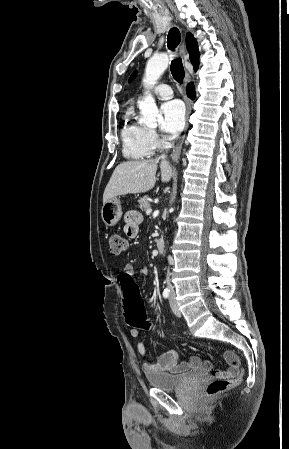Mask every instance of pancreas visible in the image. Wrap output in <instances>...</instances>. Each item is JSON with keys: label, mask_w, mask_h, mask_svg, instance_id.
<instances>
[{"label": "pancreas", "mask_w": 289, "mask_h": 449, "mask_svg": "<svg viewBox=\"0 0 289 449\" xmlns=\"http://www.w3.org/2000/svg\"><path fill=\"white\" fill-rule=\"evenodd\" d=\"M138 207H139L141 210H144V211H146L147 209L150 208V203H149V200H148V197H147V196L141 197V198L138 200Z\"/></svg>", "instance_id": "cf45deb5"}]
</instances>
